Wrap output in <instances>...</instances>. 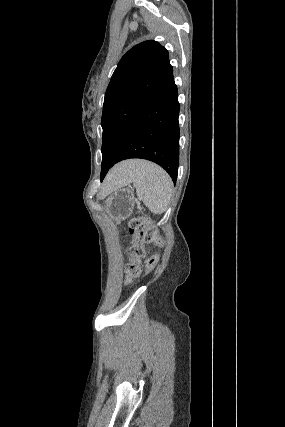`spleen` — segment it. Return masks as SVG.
<instances>
[{"label":"spleen","mask_w":285,"mask_h":427,"mask_svg":"<svg viewBox=\"0 0 285 427\" xmlns=\"http://www.w3.org/2000/svg\"><path fill=\"white\" fill-rule=\"evenodd\" d=\"M129 173L123 186L133 183L137 196L154 214L163 213L170 202L173 183L170 176L158 165L140 161Z\"/></svg>","instance_id":"spleen-1"}]
</instances>
